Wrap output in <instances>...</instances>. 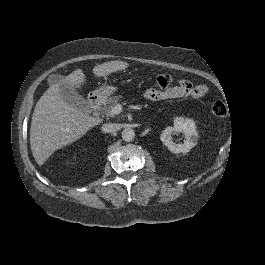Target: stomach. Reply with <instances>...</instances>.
<instances>
[{"mask_svg":"<svg viewBox=\"0 0 265 265\" xmlns=\"http://www.w3.org/2000/svg\"><path fill=\"white\" fill-rule=\"evenodd\" d=\"M117 91H118L117 86L105 84V85L101 86L100 88H98L97 90H95V93L97 95H99L101 93L102 97H108Z\"/></svg>","mask_w":265,"mask_h":265,"instance_id":"obj_1","label":"stomach"}]
</instances>
